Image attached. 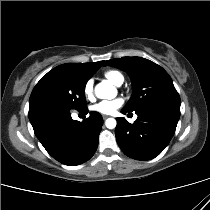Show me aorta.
Segmentation results:
<instances>
[{"label": "aorta", "instance_id": "762f6f07", "mask_svg": "<svg viewBox=\"0 0 210 210\" xmlns=\"http://www.w3.org/2000/svg\"><path fill=\"white\" fill-rule=\"evenodd\" d=\"M95 94L100 99H112L116 96L117 91L114 86L109 82H101L95 87ZM116 120L114 118H108L105 121V125L108 129H114L116 127Z\"/></svg>", "mask_w": 210, "mask_h": 210}]
</instances>
